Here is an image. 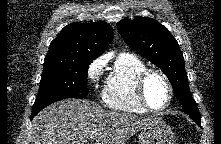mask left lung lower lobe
Returning a JSON list of instances; mask_svg holds the SVG:
<instances>
[{
	"mask_svg": "<svg viewBox=\"0 0 221 144\" xmlns=\"http://www.w3.org/2000/svg\"><path fill=\"white\" fill-rule=\"evenodd\" d=\"M198 125L201 126V120H194Z\"/></svg>",
	"mask_w": 221,
	"mask_h": 144,
	"instance_id": "left-lung-lower-lobe-1",
	"label": "left lung lower lobe"
}]
</instances>
